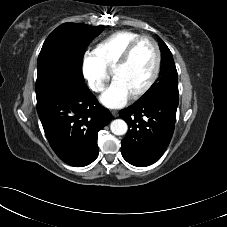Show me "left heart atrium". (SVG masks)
I'll return each instance as SVG.
<instances>
[{
  "label": "left heart atrium",
  "instance_id": "39dd6f15",
  "mask_svg": "<svg viewBox=\"0 0 227 227\" xmlns=\"http://www.w3.org/2000/svg\"><path fill=\"white\" fill-rule=\"evenodd\" d=\"M130 94L126 88L116 79L101 95V102L108 108H119L126 104Z\"/></svg>",
  "mask_w": 227,
  "mask_h": 227
}]
</instances>
